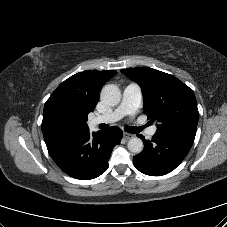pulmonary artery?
I'll return each instance as SVG.
<instances>
[{"label":"pulmonary artery","mask_w":227,"mask_h":227,"mask_svg":"<svg viewBox=\"0 0 227 227\" xmlns=\"http://www.w3.org/2000/svg\"><path fill=\"white\" fill-rule=\"evenodd\" d=\"M141 96V89L137 84L131 83L127 85L123 90L122 100L118 107L107 114L94 117L92 123H112L125 116H133L140 105ZM156 131V126H153L148 129L147 134L151 137Z\"/></svg>","instance_id":"pulmonary-artery-1"}]
</instances>
